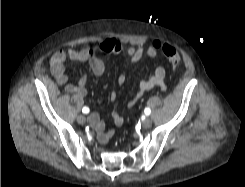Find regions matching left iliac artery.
Returning a JSON list of instances; mask_svg holds the SVG:
<instances>
[{
  "instance_id": "1",
  "label": "left iliac artery",
  "mask_w": 245,
  "mask_h": 187,
  "mask_svg": "<svg viewBox=\"0 0 245 187\" xmlns=\"http://www.w3.org/2000/svg\"><path fill=\"white\" fill-rule=\"evenodd\" d=\"M144 112L146 115H149L151 113V110L149 108H145Z\"/></svg>"
}]
</instances>
